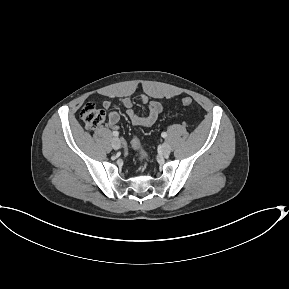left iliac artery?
I'll return each mask as SVG.
<instances>
[{"instance_id":"1","label":"left iliac artery","mask_w":289,"mask_h":289,"mask_svg":"<svg viewBox=\"0 0 289 289\" xmlns=\"http://www.w3.org/2000/svg\"><path fill=\"white\" fill-rule=\"evenodd\" d=\"M161 136H162L163 138H165V137H167V133H166V132H163V133L161 134Z\"/></svg>"}]
</instances>
